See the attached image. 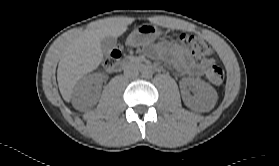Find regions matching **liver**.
Listing matches in <instances>:
<instances>
[{"instance_id": "obj_1", "label": "liver", "mask_w": 279, "mask_h": 166, "mask_svg": "<svg viewBox=\"0 0 279 166\" xmlns=\"http://www.w3.org/2000/svg\"><path fill=\"white\" fill-rule=\"evenodd\" d=\"M127 28L123 18L104 19L97 28L84 30L66 45L57 69L58 86L65 101H70L79 80L102 62L101 40L107 36L118 38Z\"/></svg>"}]
</instances>
